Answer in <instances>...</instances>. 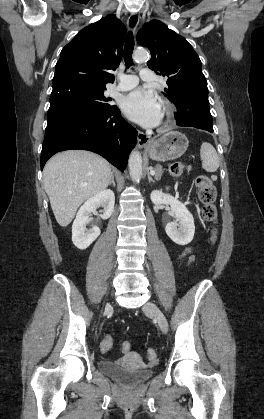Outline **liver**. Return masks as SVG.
Returning a JSON list of instances; mask_svg holds the SVG:
<instances>
[{
  "instance_id": "obj_1",
  "label": "liver",
  "mask_w": 264,
  "mask_h": 419,
  "mask_svg": "<svg viewBox=\"0 0 264 419\" xmlns=\"http://www.w3.org/2000/svg\"><path fill=\"white\" fill-rule=\"evenodd\" d=\"M111 176L109 162L93 152L68 150L54 155L46 163L43 177L58 224H70L79 206L106 189Z\"/></svg>"
}]
</instances>
